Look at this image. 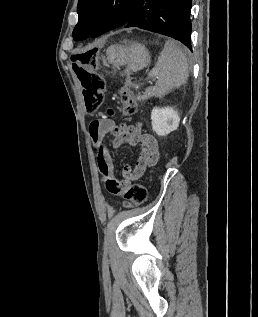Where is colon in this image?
<instances>
[{"mask_svg": "<svg viewBox=\"0 0 258 317\" xmlns=\"http://www.w3.org/2000/svg\"><path fill=\"white\" fill-rule=\"evenodd\" d=\"M97 48H86L74 52L71 56L72 69L75 72L83 90L86 110L89 112L100 108L104 101L105 83L103 77L97 72ZM122 114L126 117L134 115L137 106L133 92L128 88L119 91ZM124 206L127 208L141 205L147 196L146 188L135 183L124 191Z\"/></svg>", "mask_w": 258, "mask_h": 317, "instance_id": "5ec220e1", "label": "colon"}]
</instances>
